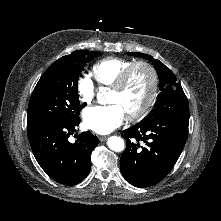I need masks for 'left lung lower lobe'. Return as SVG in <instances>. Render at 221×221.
<instances>
[{"label":"left lung lower lobe","mask_w":221,"mask_h":221,"mask_svg":"<svg viewBox=\"0 0 221 221\" xmlns=\"http://www.w3.org/2000/svg\"><path fill=\"white\" fill-rule=\"evenodd\" d=\"M167 106L122 133L127 147L120 158V170L133 186L143 188L161 181L183 150L188 135V100L179 92Z\"/></svg>","instance_id":"obj_1"}]
</instances>
